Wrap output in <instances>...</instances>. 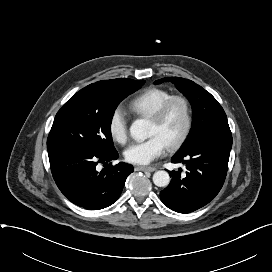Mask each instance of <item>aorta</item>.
<instances>
[{"label":"aorta","mask_w":272,"mask_h":272,"mask_svg":"<svg viewBox=\"0 0 272 272\" xmlns=\"http://www.w3.org/2000/svg\"><path fill=\"white\" fill-rule=\"evenodd\" d=\"M150 122L145 119L135 120L131 127V136L137 141H144L148 137ZM153 182L158 187H166L170 182L168 172L159 170L153 174Z\"/></svg>","instance_id":"obj_1"}]
</instances>
